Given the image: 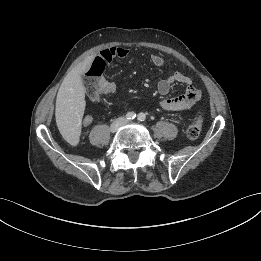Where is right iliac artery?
Returning a JSON list of instances; mask_svg holds the SVG:
<instances>
[{"label":"right iliac artery","mask_w":261,"mask_h":261,"mask_svg":"<svg viewBox=\"0 0 261 261\" xmlns=\"http://www.w3.org/2000/svg\"><path fill=\"white\" fill-rule=\"evenodd\" d=\"M135 117H136V114L134 112H128L126 114V119L127 120H133V119H135Z\"/></svg>","instance_id":"1"}]
</instances>
